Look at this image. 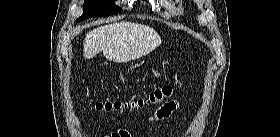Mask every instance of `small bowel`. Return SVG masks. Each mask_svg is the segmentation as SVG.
Segmentation results:
<instances>
[{"label": "small bowel", "mask_w": 280, "mask_h": 137, "mask_svg": "<svg viewBox=\"0 0 280 137\" xmlns=\"http://www.w3.org/2000/svg\"><path fill=\"white\" fill-rule=\"evenodd\" d=\"M178 107H179L178 103L175 101L164 104L147 119V125L150 128H153L158 122L169 119V117L174 113V111ZM129 136H130L129 133L126 130H120L118 136L112 135V137H129Z\"/></svg>", "instance_id": "1"}]
</instances>
